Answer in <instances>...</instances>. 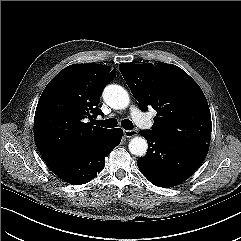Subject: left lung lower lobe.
Here are the masks:
<instances>
[{"mask_svg":"<svg viewBox=\"0 0 241 241\" xmlns=\"http://www.w3.org/2000/svg\"><path fill=\"white\" fill-rule=\"evenodd\" d=\"M147 154L137 161L139 171L158 187H173L188 179L203 163L207 151L164 140L148 130Z\"/></svg>","mask_w":241,"mask_h":241,"instance_id":"1","label":"left lung lower lobe"}]
</instances>
